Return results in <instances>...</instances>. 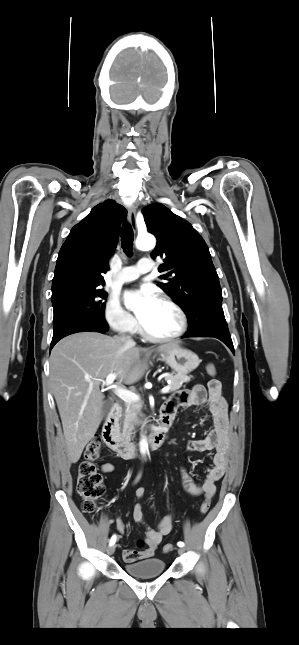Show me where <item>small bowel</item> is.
Listing matches in <instances>:
<instances>
[{"label":"small bowel","mask_w":299,"mask_h":645,"mask_svg":"<svg viewBox=\"0 0 299 645\" xmlns=\"http://www.w3.org/2000/svg\"><path fill=\"white\" fill-rule=\"evenodd\" d=\"M206 405L213 420V428L209 434L198 440H192L188 444L190 451L203 452L214 450L212 467L207 468L205 479L201 483L193 480L186 469H182V483L184 489L192 496L204 495L207 499L213 497L216 492V484L222 479L228 464V453L230 448V433L228 428L227 403L222 395L221 388L208 390L203 385L197 384L189 390H182L176 393L162 408L166 410L172 419L179 407H193ZM102 472L110 473L114 470L111 463H105L101 467ZM145 495L143 488L136 490V496L140 500L132 509V517L135 522L144 524L141 500ZM174 518L172 515L163 517L157 529L146 528L145 549H125L122 557L126 563L152 558L162 539L173 529ZM117 530L120 534L125 532V525L120 518L116 520Z\"/></svg>","instance_id":"1"}]
</instances>
